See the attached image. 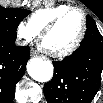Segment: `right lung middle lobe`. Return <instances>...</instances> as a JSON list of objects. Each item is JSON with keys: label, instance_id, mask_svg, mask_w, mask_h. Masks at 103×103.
Returning <instances> with one entry per match:
<instances>
[{"label": "right lung middle lobe", "instance_id": "right-lung-middle-lobe-1", "mask_svg": "<svg viewBox=\"0 0 103 103\" xmlns=\"http://www.w3.org/2000/svg\"><path fill=\"white\" fill-rule=\"evenodd\" d=\"M28 14L25 9L0 7V36L16 39V28Z\"/></svg>", "mask_w": 103, "mask_h": 103}]
</instances>
